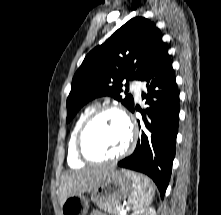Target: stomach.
Returning <instances> with one entry per match:
<instances>
[{
    "instance_id": "stomach-1",
    "label": "stomach",
    "mask_w": 221,
    "mask_h": 215,
    "mask_svg": "<svg viewBox=\"0 0 221 215\" xmlns=\"http://www.w3.org/2000/svg\"><path fill=\"white\" fill-rule=\"evenodd\" d=\"M136 175L140 181L144 176L126 170H112L101 183L90 192L94 203L120 201L128 197L135 189ZM89 201L83 194L68 197L61 205V215H86Z\"/></svg>"
}]
</instances>
